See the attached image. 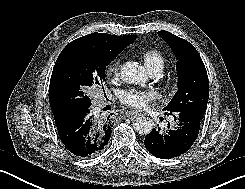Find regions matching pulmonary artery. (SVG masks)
<instances>
[{"label":"pulmonary artery","mask_w":245,"mask_h":189,"mask_svg":"<svg viewBox=\"0 0 245 189\" xmlns=\"http://www.w3.org/2000/svg\"><path fill=\"white\" fill-rule=\"evenodd\" d=\"M160 73V70H152L150 71V74L152 77H157Z\"/></svg>","instance_id":"obj_1"}]
</instances>
